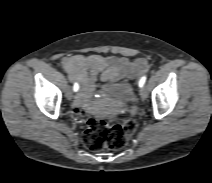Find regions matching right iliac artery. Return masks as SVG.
<instances>
[{"mask_svg": "<svg viewBox=\"0 0 212 183\" xmlns=\"http://www.w3.org/2000/svg\"><path fill=\"white\" fill-rule=\"evenodd\" d=\"M73 90H74V92H77V91L79 90V85H78V83H75V84H74Z\"/></svg>", "mask_w": 212, "mask_h": 183, "instance_id": "1", "label": "right iliac artery"}]
</instances>
